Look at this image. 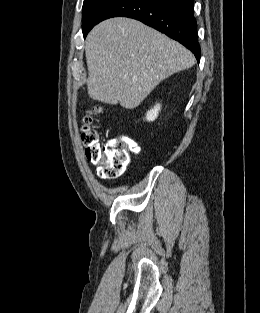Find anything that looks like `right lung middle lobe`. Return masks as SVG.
<instances>
[{"label": "right lung middle lobe", "instance_id": "obj_1", "mask_svg": "<svg viewBox=\"0 0 260 313\" xmlns=\"http://www.w3.org/2000/svg\"><path fill=\"white\" fill-rule=\"evenodd\" d=\"M117 0H84L82 9V31L84 37L98 23L102 15Z\"/></svg>", "mask_w": 260, "mask_h": 313}]
</instances>
